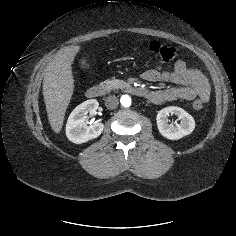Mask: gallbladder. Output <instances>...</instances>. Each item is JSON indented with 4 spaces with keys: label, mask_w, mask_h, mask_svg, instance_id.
Listing matches in <instances>:
<instances>
[{
    "label": "gallbladder",
    "mask_w": 236,
    "mask_h": 236,
    "mask_svg": "<svg viewBox=\"0 0 236 236\" xmlns=\"http://www.w3.org/2000/svg\"><path fill=\"white\" fill-rule=\"evenodd\" d=\"M80 65H81V67L84 69V68H88V63H87V61L85 60V59H82L81 61H80Z\"/></svg>",
    "instance_id": "obj_1"
}]
</instances>
